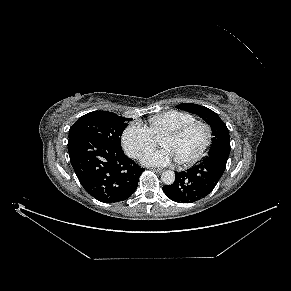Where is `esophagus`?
Instances as JSON below:
<instances>
[{
	"label": "esophagus",
	"instance_id": "esophagus-1",
	"mask_svg": "<svg viewBox=\"0 0 291 291\" xmlns=\"http://www.w3.org/2000/svg\"><path fill=\"white\" fill-rule=\"evenodd\" d=\"M150 169L156 173H161L163 171L162 169H159V168H150Z\"/></svg>",
	"mask_w": 291,
	"mask_h": 291
}]
</instances>
